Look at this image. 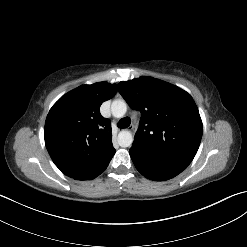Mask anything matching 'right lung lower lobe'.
Returning <instances> with one entry per match:
<instances>
[{
	"mask_svg": "<svg viewBox=\"0 0 247 247\" xmlns=\"http://www.w3.org/2000/svg\"><path fill=\"white\" fill-rule=\"evenodd\" d=\"M115 153V149L111 151V153L103 160L101 161L96 167L91 169L90 171L74 177V179L78 180H91L100 175L108 166L109 162L111 161L113 155Z\"/></svg>",
	"mask_w": 247,
	"mask_h": 247,
	"instance_id": "obj_1",
	"label": "right lung lower lobe"
}]
</instances>
